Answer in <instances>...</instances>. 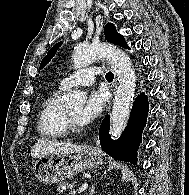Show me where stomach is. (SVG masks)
Instances as JSON below:
<instances>
[{"label":"stomach","mask_w":189,"mask_h":195,"mask_svg":"<svg viewBox=\"0 0 189 195\" xmlns=\"http://www.w3.org/2000/svg\"><path fill=\"white\" fill-rule=\"evenodd\" d=\"M102 163L99 149L87 146L81 152L73 154L50 153L38 158L33 171L45 184L62 182L72 178L77 172L97 167Z\"/></svg>","instance_id":"0dacf381"}]
</instances>
